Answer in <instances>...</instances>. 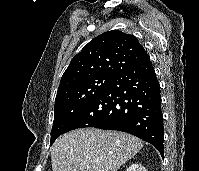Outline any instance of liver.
I'll return each mask as SVG.
<instances>
[{
	"label": "liver",
	"mask_w": 199,
	"mask_h": 171,
	"mask_svg": "<svg viewBox=\"0 0 199 171\" xmlns=\"http://www.w3.org/2000/svg\"><path fill=\"white\" fill-rule=\"evenodd\" d=\"M143 145L125 132L77 129L60 136L51 147L52 171H118Z\"/></svg>",
	"instance_id": "6515ba94"
}]
</instances>
